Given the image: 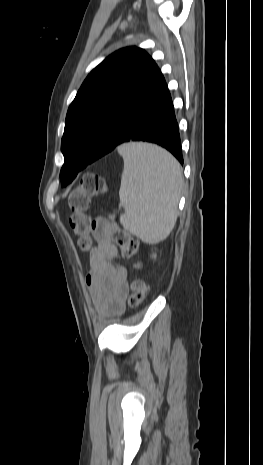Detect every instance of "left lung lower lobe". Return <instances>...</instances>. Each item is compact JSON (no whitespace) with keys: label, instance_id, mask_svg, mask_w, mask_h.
I'll return each instance as SVG.
<instances>
[{"label":"left lung lower lobe","instance_id":"left-lung-lower-lobe-1","mask_svg":"<svg viewBox=\"0 0 263 465\" xmlns=\"http://www.w3.org/2000/svg\"><path fill=\"white\" fill-rule=\"evenodd\" d=\"M129 141L156 143L170 151L183 164L173 103L156 64L147 74L136 96L118 110L111 128L103 136L93 156L82 160L69 155L65 158L60 174L70 182L88 164Z\"/></svg>","mask_w":263,"mask_h":465}]
</instances>
